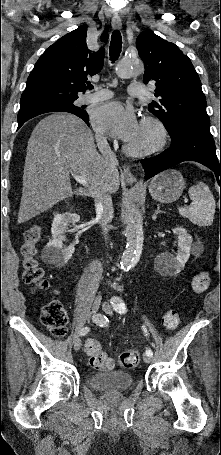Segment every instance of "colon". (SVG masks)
I'll list each match as a JSON object with an SVG mask.
<instances>
[{
	"label": "colon",
	"mask_w": 221,
	"mask_h": 455,
	"mask_svg": "<svg viewBox=\"0 0 221 455\" xmlns=\"http://www.w3.org/2000/svg\"><path fill=\"white\" fill-rule=\"evenodd\" d=\"M23 243L20 247L22 257L23 281L35 289L47 287L42 268L38 264V243L41 240V228L37 225L24 230ZM210 284V276L207 272H199L191 281V291L195 294L203 293ZM42 324L55 336L63 337L67 332L68 316L64 305L58 300L46 303L40 311ZM165 328L175 330L180 324L179 313L175 309L168 310L162 317ZM85 352L89 357L90 365L99 370H111L114 360L105 353L98 340L88 338L85 342ZM140 362V354L137 351H125L118 357V363L122 368L136 367Z\"/></svg>",
	"instance_id": "colon-1"
}]
</instances>
